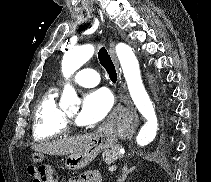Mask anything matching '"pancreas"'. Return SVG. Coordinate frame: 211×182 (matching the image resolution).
Masks as SVG:
<instances>
[{
	"instance_id": "pancreas-1",
	"label": "pancreas",
	"mask_w": 211,
	"mask_h": 182,
	"mask_svg": "<svg viewBox=\"0 0 211 182\" xmlns=\"http://www.w3.org/2000/svg\"><path fill=\"white\" fill-rule=\"evenodd\" d=\"M102 157L107 165L114 163L116 159L122 158V154L120 153V147L116 145L111 149L105 150L102 154Z\"/></svg>"
}]
</instances>
